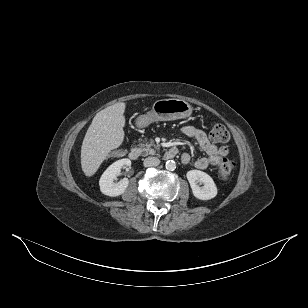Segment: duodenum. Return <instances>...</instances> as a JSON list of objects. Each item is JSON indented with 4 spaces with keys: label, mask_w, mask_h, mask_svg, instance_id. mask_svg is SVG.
Listing matches in <instances>:
<instances>
[{
    "label": "duodenum",
    "mask_w": 308,
    "mask_h": 308,
    "mask_svg": "<svg viewBox=\"0 0 308 308\" xmlns=\"http://www.w3.org/2000/svg\"><path fill=\"white\" fill-rule=\"evenodd\" d=\"M177 153H178L177 148L172 147L165 152V158L172 159L177 155ZM140 155H141V151L138 148H133L129 152V158L133 161L138 160Z\"/></svg>",
    "instance_id": "1"
}]
</instances>
